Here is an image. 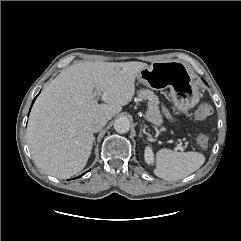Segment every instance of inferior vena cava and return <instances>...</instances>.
Wrapping results in <instances>:
<instances>
[{"label":"inferior vena cava","mask_w":241,"mask_h":241,"mask_svg":"<svg viewBox=\"0 0 241 241\" xmlns=\"http://www.w3.org/2000/svg\"><path fill=\"white\" fill-rule=\"evenodd\" d=\"M107 121L106 117H99L95 119L91 124L92 132L96 133L100 131L107 124Z\"/></svg>","instance_id":"inferior-vena-cava-1"}]
</instances>
